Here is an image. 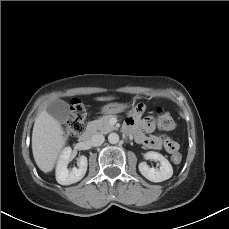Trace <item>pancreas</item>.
<instances>
[{"label": "pancreas", "mask_w": 229, "mask_h": 229, "mask_svg": "<svg viewBox=\"0 0 229 229\" xmlns=\"http://www.w3.org/2000/svg\"><path fill=\"white\" fill-rule=\"evenodd\" d=\"M114 117L113 115H105L98 120L91 121L88 124V129L92 132L100 131V133L106 134L116 129L114 125L109 123V120Z\"/></svg>", "instance_id": "obj_1"}]
</instances>
